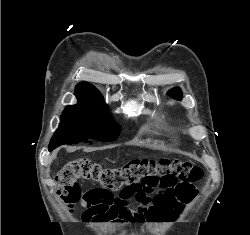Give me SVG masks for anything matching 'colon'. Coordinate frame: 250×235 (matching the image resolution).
I'll use <instances>...</instances> for the list:
<instances>
[{
  "label": "colon",
  "mask_w": 250,
  "mask_h": 235,
  "mask_svg": "<svg viewBox=\"0 0 250 235\" xmlns=\"http://www.w3.org/2000/svg\"><path fill=\"white\" fill-rule=\"evenodd\" d=\"M202 177L201 168L188 160L134 159L108 167L85 157L67 162L59 171L57 195L68 210L82 201L83 216L89 222L126 226L147 222L144 214L129 207V199L137 192L173 187L180 200L190 202ZM79 180L96 182L101 188L82 195ZM113 190L120 192L114 196Z\"/></svg>",
  "instance_id": "1"
}]
</instances>
